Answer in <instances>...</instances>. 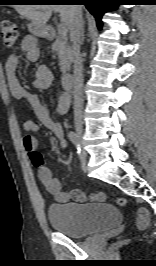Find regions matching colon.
I'll return each instance as SVG.
<instances>
[{"instance_id":"5ec220e1","label":"colon","mask_w":156,"mask_h":266,"mask_svg":"<svg viewBox=\"0 0 156 266\" xmlns=\"http://www.w3.org/2000/svg\"><path fill=\"white\" fill-rule=\"evenodd\" d=\"M0 35L4 45L9 48L12 47L15 44L18 36L15 23L8 19L3 20L0 24ZM30 158L36 167L43 165V159L39 152L33 153ZM116 202L120 206H124L126 204V201L123 198H117ZM149 220L150 219L147 210L140 209L136 218L137 227L139 229H145L149 225Z\"/></svg>"}]
</instances>
